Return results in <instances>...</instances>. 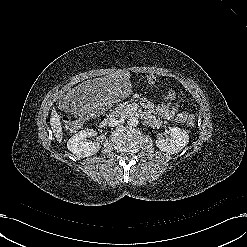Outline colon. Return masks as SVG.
I'll list each match as a JSON object with an SVG mask.
<instances>
[{"label": "colon", "instance_id": "colon-1", "mask_svg": "<svg viewBox=\"0 0 247 247\" xmlns=\"http://www.w3.org/2000/svg\"><path fill=\"white\" fill-rule=\"evenodd\" d=\"M176 97V91L174 89H170L166 93V98L167 99H174ZM186 123L189 126H194L196 123V119L194 115H187L186 117ZM64 125L67 130L70 131H77L80 129L83 125V118L81 116H76L73 119L70 118H65L64 119Z\"/></svg>", "mask_w": 247, "mask_h": 247}]
</instances>
